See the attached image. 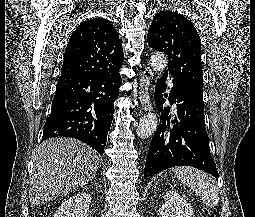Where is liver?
<instances>
[{
    "instance_id": "obj_1",
    "label": "liver",
    "mask_w": 255,
    "mask_h": 217,
    "mask_svg": "<svg viewBox=\"0 0 255 217\" xmlns=\"http://www.w3.org/2000/svg\"><path fill=\"white\" fill-rule=\"evenodd\" d=\"M30 181V202L39 205L92 180L98 170L97 152L73 138L57 137L44 141L35 151Z\"/></svg>"
}]
</instances>
